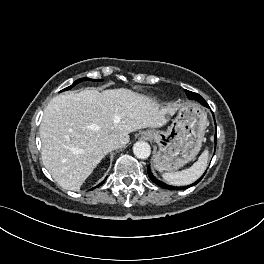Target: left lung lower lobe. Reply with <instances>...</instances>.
Returning a JSON list of instances; mask_svg holds the SVG:
<instances>
[{
    "mask_svg": "<svg viewBox=\"0 0 264 264\" xmlns=\"http://www.w3.org/2000/svg\"><path fill=\"white\" fill-rule=\"evenodd\" d=\"M195 97V100H197V101H200V103L202 104V105H204V106H206L207 105V103H206V101L200 96V95H196V96H194ZM215 141H216V134H215ZM148 175H149V177H150V179L155 183V184H157V185H159L160 187H162V188H167V189H170V190H182V189H186V188H189L190 186H193V185H195V184H197L201 179H202V177L199 179V180H197L195 183H193L192 185H188V186H184V187H173V186H169V185H167V184H165V183H162V182H160L159 180H157L153 175H152V173H151V171H150V167H148Z\"/></svg>",
    "mask_w": 264,
    "mask_h": 264,
    "instance_id": "0a47b994",
    "label": "left lung lower lobe"
}]
</instances>
